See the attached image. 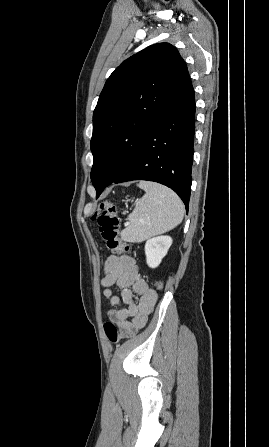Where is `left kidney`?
Here are the masks:
<instances>
[{
	"label": "left kidney",
	"instance_id": "1",
	"mask_svg": "<svg viewBox=\"0 0 269 447\" xmlns=\"http://www.w3.org/2000/svg\"><path fill=\"white\" fill-rule=\"evenodd\" d=\"M171 243L172 237L170 235H157V237L147 239L145 243L147 265L157 267L161 263L162 257L166 255Z\"/></svg>",
	"mask_w": 269,
	"mask_h": 447
}]
</instances>
